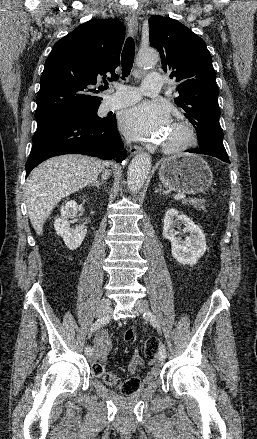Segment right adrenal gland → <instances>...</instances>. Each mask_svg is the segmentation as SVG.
<instances>
[{
	"label": "right adrenal gland",
	"mask_w": 257,
	"mask_h": 439,
	"mask_svg": "<svg viewBox=\"0 0 257 439\" xmlns=\"http://www.w3.org/2000/svg\"><path fill=\"white\" fill-rule=\"evenodd\" d=\"M103 183H101V182H99V181H95L94 183H92L90 186H95V187H97L98 189L100 188V185H102Z\"/></svg>",
	"instance_id": "obj_1"
}]
</instances>
